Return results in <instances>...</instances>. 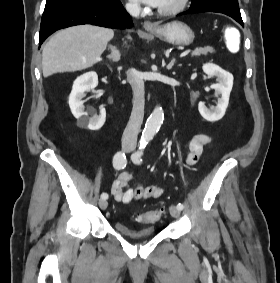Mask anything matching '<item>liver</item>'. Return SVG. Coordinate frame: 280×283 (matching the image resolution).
I'll return each instance as SVG.
<instances>
[{
  "label": "liver",
  "mask_w": 280,
  "mask_h": 283,
  "mask_svg": "<svg viewBox=\"0 0 280 283\" xmlns=\"http://www.w3.org/2000/svg\"><path fill=\"white\" fill-rule=\"evenodd\" d=\"M112 29L79 25L58 31L44 46L42 70L44 77L58 72H74L101 61Z\"/></svg>",
  "instance_id": "6515ba94"
}]
</instances>
